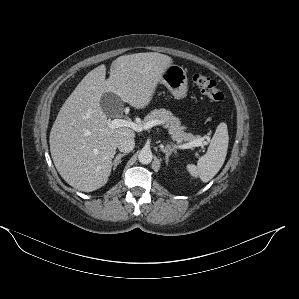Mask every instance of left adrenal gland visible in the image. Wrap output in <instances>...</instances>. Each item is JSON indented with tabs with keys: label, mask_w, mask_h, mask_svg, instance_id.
Returning a JSON list of instances; mask_svg holds the SVG:
<instances>
[{
	"label": "left adrenal gland",
	"mask_w": 299,
	"mask_h": 299,
	"mask_svg": "<svg viewBox=\"0 0 299 299\" xmlns=\"http://www.w3.org/2000/svg\"><path fill=\"white\" fill-rule=\"evenodd\" d=\"M160 150L162 151V152H164L165 153V160H166V163H168L169 162V156L173 153V152H175V150L173 149V148H171V146L170 145H166V146H161V148H160Z\"/></svg>",
	"instance_id": "obj_1"
}]
</instances>
